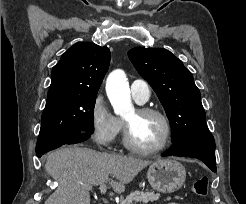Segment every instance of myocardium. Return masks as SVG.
I'll list each match as a JSON object with an SVG mask.
<instances>
[{"label": "myocardium", "instance_id": "1", "mask_svg": "<svg viewBox=\"0 0 246 204\" xmlns=\"http://www.w3.org/2000/svg\"><path fill=\"white\" fill-rule=\"evenodd\" d=\"M136 111L140 115H155L159 117L165 126L164 137L161 143L153 148L140 147L134 143L132 139V135H131L130 126L128 122L124 120V123H123L124 125V137H123L124 145L126 146V148H128L132 152H135L141 155H152V154L159 153L160 151L166 148V146L168 145L172 137V124H171L170 119L164 112H162L159 109L153 108V107H140L136 109Z\"/></svg>", "mask_w": 246, "mask_h": 204}]
</instances>
